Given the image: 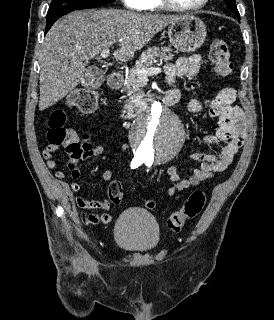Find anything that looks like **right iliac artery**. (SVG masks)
I'll return each mask as SVG.
<instances>
[{"instance_id": "right-iliac-artery-1", "label": "right iliac artery", "mask_w": 274, "mask_h": 320, "mask_svg": "<svg viewBox=\"0 0 274 320\" xmlns=\"http://www.w3.org/2000/svg\"><path fill=\"white\" fill-rule=\"evenodd\" d=\"M143 162L141 160L138 159H133L131 162V168H137L138 166H140Z\"/></svg>"}]
</instances>
